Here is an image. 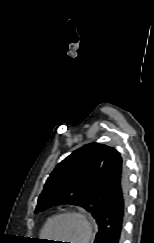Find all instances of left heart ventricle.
I'll use <instances>...</instances> for the list:
<instances>
[{
    "mask_svg": "<svg viewBox=\"0 0 154 243\" xmlns=\"http://www.w3.org/2000/svg\"><path fill=\"white\" fill-rule=\"evenodd\" d=\"M84 233L82 222L75 217H61L54 221L50 229V236L57 239L71 240L70 243H80ZM62 243V241H56Z\"/></svg>",
    "mask_w": 154,
    "mask_h": 243,
    "instance_id": "1",
    "label": "left heart ventricle"
}]
</instances>
